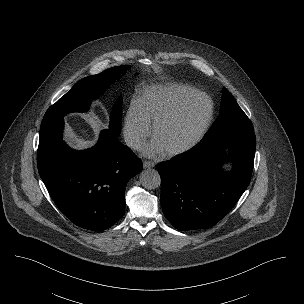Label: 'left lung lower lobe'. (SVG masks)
<instances>
[{"label": "left lung lower lobe", "instance_id": "0a47b994", "mask_svg": "<svg viewBox=\"0 0 304 304\" xmlns=\"http://www.w3.org/2000/svg\"><path fill=\"white\" fill-rule=\"evenodd\" d=\"M255 148L254 132H231L202 141L191 152L159 163L161 206L167 220L178 230L214 226L248 187ZM227 161L233 163V169L223 172L221 165Z\"/></svg>", "mask_w": 304, "mask_h": 304}]
</instances>
